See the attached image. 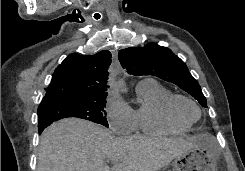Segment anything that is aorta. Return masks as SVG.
<instances>
[{"instance_id":"762f6f07","label":"aorta","mask_w":245,"mask_h":171,"mask_svg":"<svg viewBox=\"0 0 245 171\" xmlns=\"http://www.w3.org/2000/svg\"><path fill=\"white\" fill-rule=\"evenodd\" d=\"M115 84L119 87V89L123 92V93H126L127 92V89L126 87L124 86V83L122 80H116L115 81Z\"/></svg>"}]
</instances>
